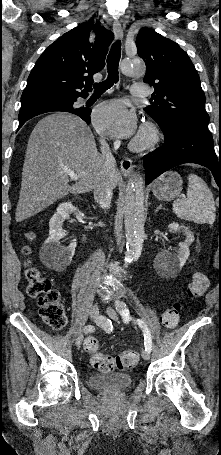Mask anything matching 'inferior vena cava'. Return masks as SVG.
<instances>
[{
  "label": "inferior vena cava",
  "instance_id": "1",
  "mask_svg": "<svg viewBox=\"0 0 221 455\" xmlns=\"http://www.w3.org/2000/svg\"><path fill=\"white\" fill-rule=\"evenodd\" d=\"M103 160V170L94 185V199L102 209H109L113 195L112 175L115 172L116 161L106 143L105 139H100Z\"/></svg>",
  "mask_w": 221,
  "mask_h": 455
}]
</instances>
